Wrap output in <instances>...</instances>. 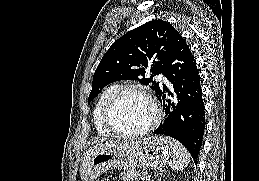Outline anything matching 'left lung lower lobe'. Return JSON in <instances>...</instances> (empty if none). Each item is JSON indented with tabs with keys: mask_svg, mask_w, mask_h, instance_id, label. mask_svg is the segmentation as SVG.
<instances>
[{
	"mask_svg": "<svg viewBox=\"0 0 259 181\" xmlns=\"http://www.w3.org/2000/svg\"><path fill=\"white\" fill-rule=\"evenodd\" d=\"M165 77L173 85L176 98L165 99L166 94H174L163 84L158 99L164 106L166 118L154 133L181 142L197 162L205 130V107L199 70L182 36L173 43Z\"/></svg>",
	"mask_w": 259,
	"mask_h": 181,
	"instance_id": "1",
	"label": "left lung lower lobe"
}]
</instances>
